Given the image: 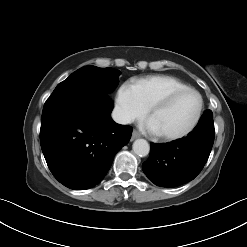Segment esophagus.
<instances>
[{
  "label": "esophagus",
  "instance_id": "esophagus-1",
  "mask_svg": "<svg viewBox=\"0 0 247 247\" xmlns=\"http://www.w3.org/2000/svg\"><path fill=\"white\" fill-rule=\"evenodd\" d=\"M140 136L141 135L136 130H134L133 133H132V140L140 138Z\"/></svg>",
  "mask_w": 247,
  "mask_h": 247
}]
</instances>
